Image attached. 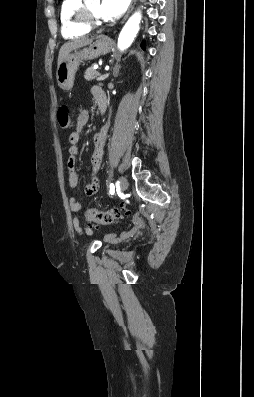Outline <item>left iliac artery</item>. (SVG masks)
I'll list each match as a JSON object with an SVG mask.
<instances>
[{
  "label": "left iliac artery",
  "instance_id": "obj_1",
  "mask_svg": "<svg viewBox=\"0 0 254 397\" xmlns=\"http://www.w3.org/2000/svg\"><path fill=\"white\" fill-rule=\"evenodd\" d=\"M109 192H110L111 195L114 194L115 190H114V185L113 184L110 185V191Z\"/></svg>",
  "mask_w": 254,
  "mask_h": 397
}]
</instances>
